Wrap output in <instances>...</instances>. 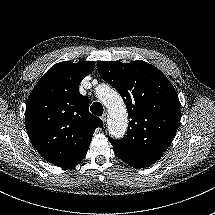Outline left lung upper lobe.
<instances>
[{
	"label": "left lung upper lobe",
	"mask_w": 215,
	"mask_h": 215,
	"mask_svg": "<svg viewBox=\"0 0 215 215\" xmlns=\"http://www.w3.org/2000/svg\"><path fill=\"white\" fill-rule=\"evenodd\" d=\"M100 76L123 98L128 115L127 135L109 138L119 150L140 155L160 154L171 144L180 123V102L169 80L144 61L97 63Z\"/></svg>",
	"instance_id": "left-lung-upper-lobe-1"
}]
</instances>
